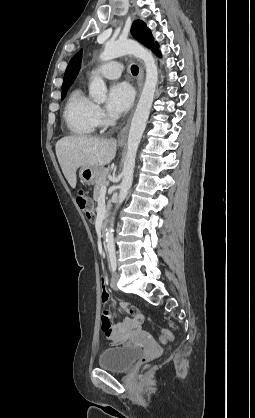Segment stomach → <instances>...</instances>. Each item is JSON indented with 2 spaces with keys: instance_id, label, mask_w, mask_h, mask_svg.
I'll return each instance as SVG.
<instances>
[{
  "instance_id": "1",
  "label": "stomach",
  "mask_w": 255,
  "mask_h": 418,
  "mask_svg": "<svg viewBox=\"0 0 255 418\" xmlns=\"http://www.w3.org/2000/svg\"><path fill=\"white\" fill-rule=\"evenodd\" d=\"M103 168L100 167H81L79 171V177L82 182L86 184H93L102 173Z\"/></svg>"
}]
</instances>
